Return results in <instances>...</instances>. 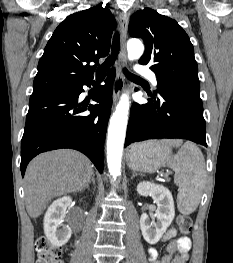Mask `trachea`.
I'll return each mask as SVG.
<instances>
[{
  "label": "trachea",
  "mask_w": 233,
  "mask_h": 263,
  "mask_svg": "<svg viewBox=\"0 0 233 263\" xmlns=\"http://www.w3.org/2000/svg\"><path fill=\"white\" fill-rule=\"evenodd\" d=\"M120 39H119V33H115L113 43H112V53L111 56L107 58V60L97 69V78H104L106 70L113 65L115 60L117 59L119 50H120ZM123 72L131 80L134 81H142L141 78L133 75L130 73L127 69L123 68Z\"/></svg>",
  "instance_id": "1"
}]
</instances>
